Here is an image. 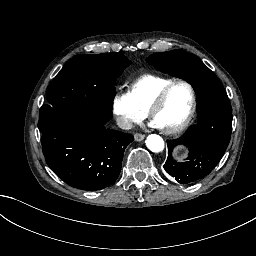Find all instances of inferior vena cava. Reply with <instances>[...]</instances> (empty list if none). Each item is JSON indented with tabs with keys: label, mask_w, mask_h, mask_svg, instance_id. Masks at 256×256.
<instances>
[{
	"label": "inferior vena cava",
	"mask_w": 256,
	"mask_h": 256,
	"mask_svg": "<svg viewBox=\"0 0 256 256\" xmlns=\"http://www.w3.org/2000/svg\"><path fill=\"white\" fill-rule=\"evenodd\" d=\"M116 123L122 130H130L132 128V123L123 116H118L116 118Z\"/></svg>",
	"instance_id": "602c4592"
}]
</instances>
